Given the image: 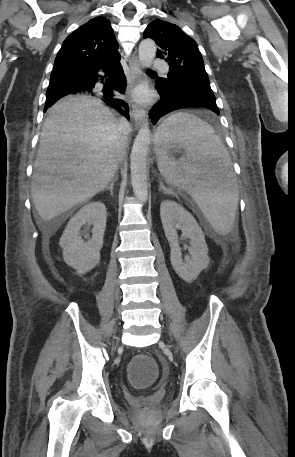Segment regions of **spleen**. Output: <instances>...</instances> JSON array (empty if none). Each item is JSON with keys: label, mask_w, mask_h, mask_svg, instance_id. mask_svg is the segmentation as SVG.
Returning <instances> with one entry per match:
<instances>
[{"label": "spleen", "mask_w": 295, "mask_h": 457, "mask_svg": "<svg viewBox=\"0 0 295 457\" xmlns=\"http://www.w3.org/2000/svg\"><path fill=\"white\" fill-rule=\"evenodd\" d=\"M155 145L158 169L166 181L188 192L218 234L230 233L238 184L229 153L212 127L191 113L178 112L158 127ZM172 146L184 148L186 157L169 158Z\"/></svg>", "instance_id": "spleen-1"}]
</instances>
